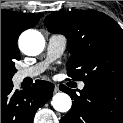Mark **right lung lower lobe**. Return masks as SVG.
I'll return each instance as SVG.
<instances>
[{
	"instance_id": "1",
	"label": "right lung lower lobe",
	"mask_w": 123,
	"mask_h": 123,
	"mask_svg": "<svg viewBox=\"0 0 123 123\" xmlns=\"http://www.w3.org/2000/svg\"><path fill=\"white\" fill-rule=\"evenodd\" d=\"M54 85L37 80L32 87L13 90L12 81L1 83V123H32L36 110L50 100Z\"/></svg>"
}]
</instances>
